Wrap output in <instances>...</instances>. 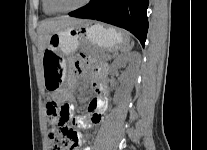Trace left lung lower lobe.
Here are the masks:
<instances>
[{
  "label": "left lung lower lobe",
  "instance_id": "obj_1",
  "mask_svg": "<svg viewBox=\"0 0 207 150\" xmlns=\"http://www.w3.org/2000/svg\"><path fill=\"white\" fill-rule=\"evenodd\" d=\"M148 3V0H91L69 15L124 28L134 34L144 47L148 30Z\"/></svg>",
  "mask_w": 207,
  "mask_h": 150
}]
</instances>
